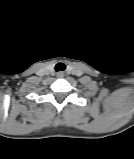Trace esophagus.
Wrapping results in <instances>:
<instances>
[{
    "label": "esophagus",
    "mask_w": 134,
    "mask_h": 159,
    "mask_svg": "<svg viewBox=\"0 0 134 159\" xmlns=\"http://www.w3.org/2000/svg\"><path fill=\"white\" fill-rule=\"evenodd\" d=\"M57 77L58 78H63L64 77V73L63 72H58L57 73Z\"/></svg>",
    "instance_id": "obj_1"
}]
</instances>
